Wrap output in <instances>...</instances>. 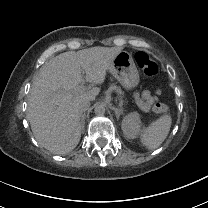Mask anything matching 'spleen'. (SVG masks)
Here are the masks:
<instances>
[{"instance_id":"3e777b00","label":"spleen","mask_w":208,"mask_h":208,"mask_svg":"<svg viewBox=\"0 0 208 208\" xmlns=\"http://www.w3.org/2000/svg\"><path fill=\"white\" fill-rule=\"evenodd\" d=\"M171 125V113L164 112L155 121L141 129L138 135L140 145L147 151L157 149L167 138Z\"/></svg>"}]
</instances>
